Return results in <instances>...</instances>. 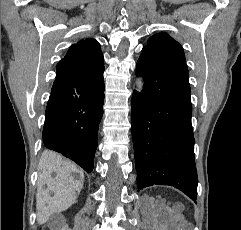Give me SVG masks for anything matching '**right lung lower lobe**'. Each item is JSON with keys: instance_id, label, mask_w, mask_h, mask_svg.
Returning <instances> with one entry per match:
<instances>
[{"instance_id": "obj_1", "label": "right lung lower lobe", "mask_w": 241, "mask_h": 230, "mask_svg": "<svg viewBox=\"0 0 241 230\" xmlns=\"http://www.w3.org/2000/svg\"><path fill=\"white\" fill-rule=\"evenodd\" d=\"M103 72L59 62L43 128L44 145L72 159L88 173L93 170L103 115Z\"/></svg>"}]
</instances>
